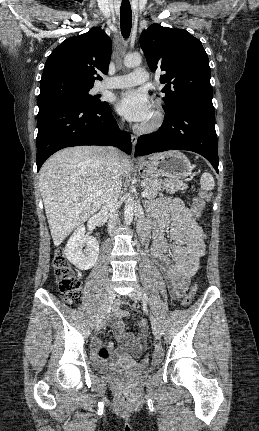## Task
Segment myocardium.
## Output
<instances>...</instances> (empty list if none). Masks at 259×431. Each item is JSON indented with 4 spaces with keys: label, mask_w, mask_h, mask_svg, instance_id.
Returning <instances> with one entry per match:
<instances>
[{
    "label": "myocardium",
    "mask_w": 259,
    "mask_h": 431,
    "mask_svg": "<svg viewBox=\"0 0 259 431\" xmlns=\"http://www.w3.org/2000/svg\"><path fill=\"white\" fill-rule=\"evenodd\" d=\"M164 111L159 103L156 104L152 112V118L149 122H145L138 127V130L143 133H152L161 128L164 123Z\"/></svg>",
    "instance_id": "obj_1"
}]
</instances>
